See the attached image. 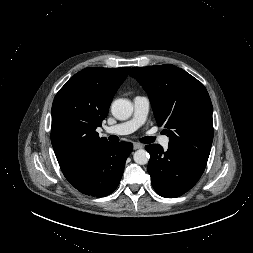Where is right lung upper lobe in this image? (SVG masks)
Masks as SVG:
<instances>
[{
	"instance_id": "obj_1",
	"label": "right lung upper lobe",
	"mask_w": 253,
	"mask_h": 253,
	"mask_svg": "<svg viewBox=\"0 0 253 253\" xmlns=\"http://www.w3.org/2000/svg\"><path fill=\"white\" fill-rule=\"evenodd\" d=\"M129 67H89L72 76L52 105L51 142L66 177H73L102 144L96 128L108 115L113 96L126 79Z\"/></svg>"
}]
</instances>
